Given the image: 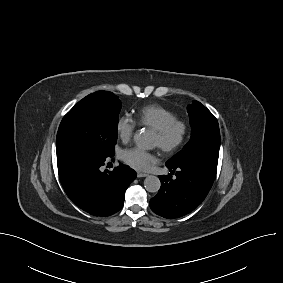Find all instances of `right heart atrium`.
<instances>
[{"label": "right heart atrium", "mask_w": 283, "mask_h": 283, "mask_svg": "<svg viewBox=\"0 0 283 283\" xmlns=\"http://www.w3.org/2000/svg\"><path fill=\"white\" fill-rule=\"evenodd\" d=\"M136 129V122L128 115L120 116L116 122V133L123 142H128Z\"/></svg>", "instance_id": "obj_1"}]
</instances>
